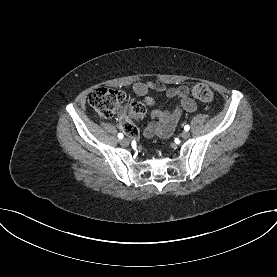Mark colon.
I'll return each instance as SVG.
<instances>
[{"instance_id":"5ec220e1","label":"colon","mask_w":277,"mask_h":277,"mask_svg":"<svg viewBox=\"0 0 277 277\" xmlns=\"http://www.w3.org/2000/svg\"><path fill=\"white\" fill-rule=\"evenodd\" d=\"M193 96L201 101H209L212 98V91L205 84H197L192 88ZM88 101L98 117H112L125 101V95L116 89L98 88L93 90ZM146 109L143 104L133 102L122 109L121 123L125 131L130 134H136V126L133 123V117H143Z\"/></svg>"}]
</instances>
